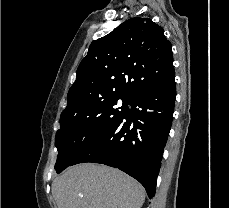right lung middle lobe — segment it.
I'll use <instances>...</instances> for the list:
<instances>
[{"label": "right lung middle lobe", "instance_id": "1", "mask_svg": "<svg viewBox=\"0 0 229 208\" xmlns=\"http://www.w3.org/2000/svg\"><path fill=\"white\" fill-rule=\"evenodd\" d=\"M119 99L122 105L116 106ZM130 101L131 98L124 96L102 98L60 118L61 128L55 137L58 149L56 172L70 166L88 144L115 125L127 111Z\"/></svg>", "mask_w": 229, "mask_h": 208}]
</instances>
